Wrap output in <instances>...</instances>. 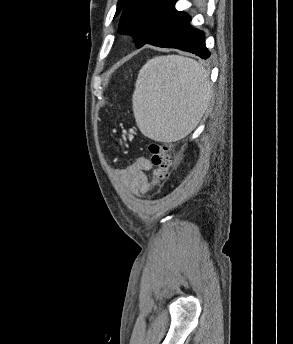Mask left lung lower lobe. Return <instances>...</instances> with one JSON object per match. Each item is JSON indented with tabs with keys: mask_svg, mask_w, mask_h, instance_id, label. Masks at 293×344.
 Returning a JSON list of instances; mask_svg holds the SVG:
<instances>
[{
	"mask_svg": "<svg viewBox=\"0 0 293 344\" xmlns=\"http://www.w3.org/2000/svg\"><path fill=\"white\" fill-rule=\"evenodd\" d=\"M191 17L186 16L181 26L166 41L155 45L163 48H175L191 52L203 59L210 57V52L205 46L204 33L191 24Z\"/></svg>",
	"mask_w": 293,
	"mask_h": 344,
	"instance_id": "1",
	"label": "left lung lower lobe"
}]
</instances>
